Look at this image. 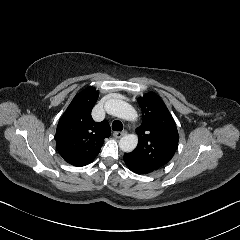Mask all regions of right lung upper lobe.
I'll return each mask as SVG.
<instances>
[{"label":"right lung upper lobe","mask_w":240,"mask_h":240,"mask_svg":"<svg viewBox=\"0 0 240 240\" xmlns=\"http://www.w3.org/2000/svg\"><path fill=\"white\" fill-rule=\"evenodd\" d=\"M98 91L88 87L78 93L60 118L56 130V148L63 159L74 166H85L100 152L104 139L111 135L109 123L95 122L91 111Z\"/></svg>","instance_id":"cb5924a9"}]
</instances>
